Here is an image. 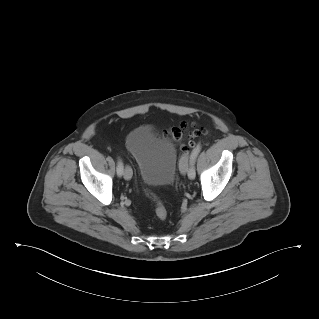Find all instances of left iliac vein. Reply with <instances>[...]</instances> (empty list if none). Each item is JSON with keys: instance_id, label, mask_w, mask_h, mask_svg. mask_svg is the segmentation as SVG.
Here are the masks:
<instances>
[{"instance_id": "4c4485c4", "label": "left iliac vein", "mask_w": 319, "mask_h": 319, "mask_svg": "<svg viewBox=\"0 0 319 319\" xmlns=\"http://www.w3.org/2000/svg\"><path fill=\"white\" fill-rule=\"evenodd\" d=\"M188 169V155H184L180 160V172L182 174H186ZM188 177L190 178V175L188 173Z\"/></svg>"}]
</instances>
